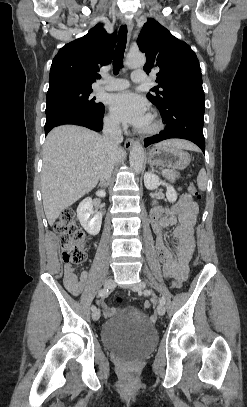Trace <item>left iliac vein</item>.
Instances as JSON below:
<instances>
[{
	"label": "left iliac vein",
	"instance_id": "obj_1",
	"mask_svg": "<svg viewBox=\"0 0 247 407\" xmlns=\"http://www.w3.org/2000/svg\"><path fill=\"white\" fill-rule=\"evenodd\" d=\"M145 282L140 281L137 284H134L131 288L134 292H141L145 288ZM157 313L159 316H163L165 314V307L162 304L157 306Z\"/></svg>",
	"mask_w": 247,
	"mask_h": 407
}]
</instances>
